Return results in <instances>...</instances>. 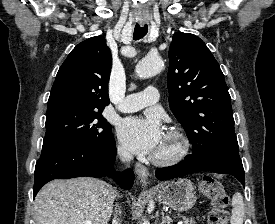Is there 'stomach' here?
<instances>
[{"mask_svg": "<svg viewBox=\"0 0 275 224\" xmlns=\"http://www.w3.org/2000/svg\"><path fill=\"white\" fill-rule=\"evenodd\" d=\"M157 199L175 211H188L197 200L195 186L192 181L185 178L167 182L157 189Z\"/></svg>", "mask_w": 275, "mask_h": 224, "instance_id": "0dacf381", "label": "stomach"}]
</instances>
